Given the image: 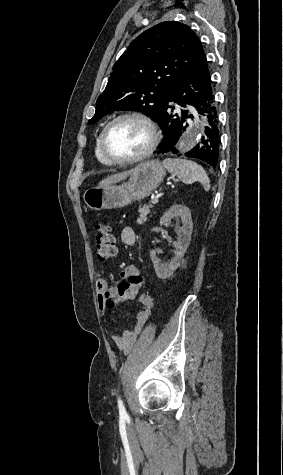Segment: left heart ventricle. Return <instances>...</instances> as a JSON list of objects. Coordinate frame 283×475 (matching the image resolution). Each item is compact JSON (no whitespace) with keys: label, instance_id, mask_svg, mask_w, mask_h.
<instances>
[{"label":"left heart ventricle","instance_id":"b2bd125f","mask_svg":"<svg viewBox=\"0 0 283 475\" xmlns=\"http://www.w3.org/2000/svg\"><path fill=\"white\" fill-rule=\"evenodd\" d=\"M150 138V129L144 122L133 118L122 119L109 129L104 146L108 156L128 158L143 152Z\"/></svg>","mask_w":283,"mask_h":475}]
</instances>
